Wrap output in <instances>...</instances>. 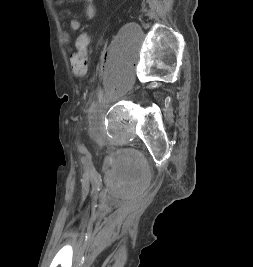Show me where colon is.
Listing matches in <instances>:
<instances>
[{"label":"colon","instance_id":"1","mask_svg":"<svg viewBox=\"0 0 253 267\" xmlns=\"http://www.w3.org/2000/svg\"><path fill=\"white\" fill-rule=\"evenodd\" d=\"M87 46L88 37L85 33H82L76 40V52L71 56V67L76 76H83L87 72Z\"/></svg>","mask_w":253,"mask_h":267}]
</instances>
